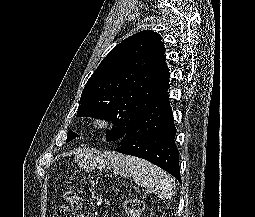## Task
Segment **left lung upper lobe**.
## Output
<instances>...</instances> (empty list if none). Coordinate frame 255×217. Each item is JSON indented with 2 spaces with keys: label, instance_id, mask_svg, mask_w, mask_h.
I'll return each instance as SVG.
<instances>
[{
  "label": "left lung upper lobe",
  "instance_id": "5c2ea615",
  "mask_svg": "<svg viewBox=\"0 0 255 217\" xmlns=\"http://www.w3.org/2000/svg\"><path fill=\"white\" fill-rule=\"evenodd\" d=\"M161 36L138 32L119 43L87 81L77 117L111 120L108 140L122 138L148 106L169 86ZM78 137L68 132L67 142Z\"/></svg>",
  "mask_w": 255,
  "mask_h": 217
}]
</instances>
